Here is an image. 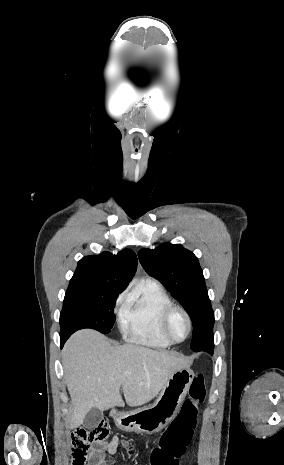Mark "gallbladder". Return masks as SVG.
Here are the masks:
<instances>
[{"label":"gallbladder","instance_id":"bac80fb5","mask_svg":"<svg viewBox=\"0 0 284 465\" xmlns=\"http://www.w3.org/2000/svg\"><path fill=\"white\" fill-rule=\"evenodd\" d=\"M102 419V411H98V409H91L83 421V427H85V429H96Z\"/></svg>","mask_w":284,"mask_h":465}]
</instances>
